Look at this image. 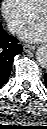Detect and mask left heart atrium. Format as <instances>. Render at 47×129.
Segmentation results:
<instances>
[{
  "mask_svg": "<svg viewBox=\"0 0 47 129\" xmlns=\"http://www.w3.org/2000/svg\"><path fill=\"white\" fill-rule=\"evenodd\" d=\"M47 35L46 25L41 22H36L21 32L20 37L23 40L31 42H40L45 40Z\"/></svg>",
  "mask_w": 47,
  "mask_h": 129,
  "instance_id": "obj_1",
  "label": "left heart atrium"
}]
</instances>
